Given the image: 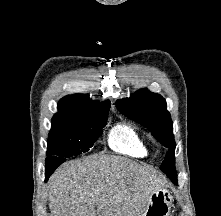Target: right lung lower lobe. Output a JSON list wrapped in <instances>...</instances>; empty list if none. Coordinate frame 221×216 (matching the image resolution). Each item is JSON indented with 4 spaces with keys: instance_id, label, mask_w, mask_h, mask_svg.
Here are the masks:
<instances>
[{
    "instance_id": "obj_1",
    "label": "right lung lower lobe",
    "mask_w": 221,
    "mask_h": 216,
    "mask_svg": "<svg viewBox=\"0 0 221 216\" xmlns=\"http://www.w3.org/2000/svg\"><path fill=\"white\" fill-rule=\"evenodd\" d=\"M57 167H58V166L50 167V169H47V168H46V172H45L46 180L49 178V176L54 172V170H55Z\"/></svg>"
}]
</instances>
